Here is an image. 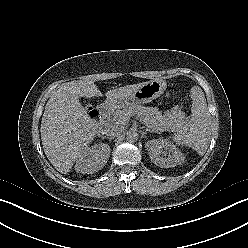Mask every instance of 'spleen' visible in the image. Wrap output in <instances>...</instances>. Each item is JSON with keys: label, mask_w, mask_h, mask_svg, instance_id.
Listing matches in <instances>:
<instances>
[{"label": "spleen", "mask_w": 248, "mask_h": 248, "mask_svg": "<svg viewBox=\"0 0 248 248\" xmlns=\"http://www.w3.org/2000/svg\"><path fill=\"white\" fill-rule=\"evenodd\" d=\"M191 119L172 137L176 144L188 146L203 156L209 146L211 135V115L204 93L199 86L191 88Z\"/></svg>", "instance_id": "3e777b00"}]
</instances>
